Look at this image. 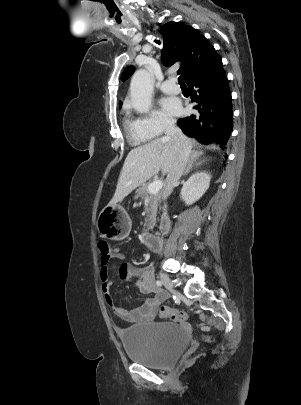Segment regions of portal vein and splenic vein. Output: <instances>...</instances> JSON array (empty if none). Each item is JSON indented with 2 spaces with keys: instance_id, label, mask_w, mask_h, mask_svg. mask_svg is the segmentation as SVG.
Segmentation results:
<instances>
[{
  "instance_id": "18ae733b",
  "label": "portal vein and splenic vein",
  "mask_w": 301,
  "mask_h": 405,
  "mask_svg": "<svg viewBox=\"0 0 301 405\" xmlns=\"http://www.w3.org/2000/svg\"><path fill=\"white\" fill-rule=\"evenodd\" d=\"M162 186H163L162 181H160V180L154 181V182L149 184L148 192L151 193V194H156L161 190Z\"/></svg>"
}]
</instances>
